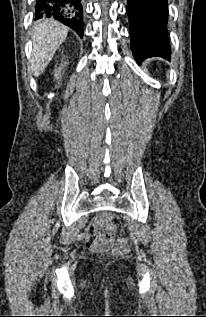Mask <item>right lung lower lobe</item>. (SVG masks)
I'll list each match as a JSON object with an SVG mask.
<instances>
[{
	"instance_id": "98d812e1",
	"label": "right lung lower lobe",
	"mask_w": 206,
	"mask_h": 317,
	"mask_svg": "<svg viewBox=\"0 0 206 317\" xmlns=\"http://www.w3.org/2000/svg\"><path fill=\"white\" fill-rule=\"evenodd\" d=\"M53 16L83 36V6L81 0H36L35 19Z\"/></svg>"
}]
</instances>
